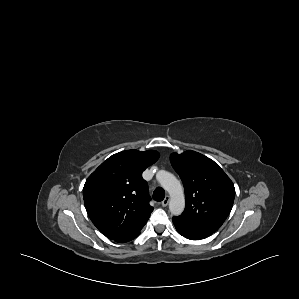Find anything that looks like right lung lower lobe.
Returning a JSON list of instances; mask_svg holds the SVG:
<instances>
[{"label": "right lung lower lobe", "instance_id": "right-lung-lower-lobe-1", "mask_svg": "<svg viewBox=\"0 0 299 299\" xmlns=\"http://www.w3.org/2000/svg\"><path fill=\"white\" fill-rule=\"evenodd\" d=\"M139 234H136L134 236H131V237H128V238H124V239H120V240H116V242H119V243H124V242H128L134 238H136Z\"/></svg>", "mask_w": 299, "mask_h": 299}]
</instances>
